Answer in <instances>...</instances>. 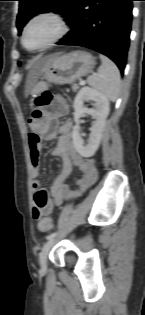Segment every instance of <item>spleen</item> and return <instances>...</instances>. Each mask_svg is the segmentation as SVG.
<instances>
[{
	"mask_svg": "<svg viewBox=\"0 0 145 315\" xmlns=\"http://www.w3.org/2000/svg\"><path fill=\"white\" fill-rule=\"evenodd\" d=\"M102 61L97 74L88 77V84L105 95L109 100L115 101L120 93V72L115 63L104 55H100Z\"/></svg>",
	"mask_w": 145,
	"mask_h": 315,
	"instance_id": "spleen-1",
	"label": "spleen"
}]
</instances>
